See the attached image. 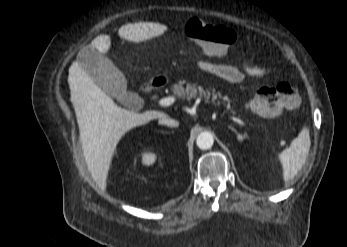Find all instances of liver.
Returning <instances> with one entry per match:
<instances>
[{
    "mask_svg": "<svg viewBox=\"0 0 347 247\" xmlns=\"http://www.w3.org/2000/svg\"><path fill=\"white\" fill-rule=\"evenodd\" d=\"M165 29L164 25L151 22L127 24L119 28L118 34L123 39L137 43L158 36ZM110 46V36L100 35L83 49L92 48L105 54ZM68 83L85 160L95 181L105 188L112 157L120 139L129 130L159 119L164 113H137L118 107L79 65L78 60L69 68Z\"/></svg>",
    "mask_w": 347,
    "mask_h": 247,
    "instance_id": "6515ba94",
    "label": "liver"
}]
</instances>
